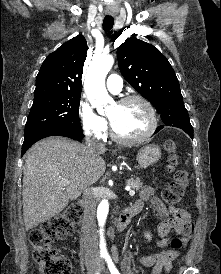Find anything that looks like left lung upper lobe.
Segmentation results:
<instances>
[{"label":"left lung upper lobe","instance_id":"5c2ea615","mask_svg":"<svg viewBox=\"0 0 221 274\" xmlns=\"http://www.w3.org/2000/svg\"><path fill=\"white\" fill-rule=\"evenodd\" d=\"M117 57L125 80L153 103L161 118L184 106L176 74L155 46L131 37L118 47Z\"/></svg>","mask_w":221,"mask_h":274}]
</instances>
